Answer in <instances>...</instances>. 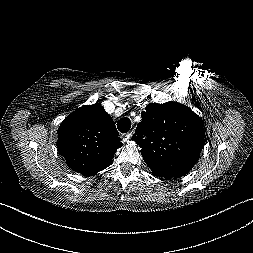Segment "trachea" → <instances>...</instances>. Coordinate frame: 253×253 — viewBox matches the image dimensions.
<instances>
[{"label":"trachea","mask_w":253,"mask_h":253,"mask_svg":"<svg viewBox=\"0 0 253 253\" xmlns=\"http://www.w3.org/2000/svg\"><path fill=\"white\" fill-rule=\"evenodd\" d=\"M117 127L121 133H127L131 128V120L127 117L121 118L117 123Z\"/></svg>","instance_id":"obj_1"}]
</instances>
